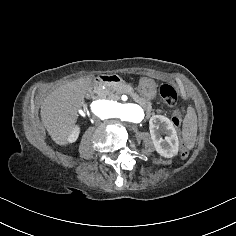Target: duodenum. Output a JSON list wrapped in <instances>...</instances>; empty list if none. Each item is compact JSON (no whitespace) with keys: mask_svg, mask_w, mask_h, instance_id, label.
<instances>
[{"mask_svg":"<svg viewBox=\"0 0 236 236\" xmlns=\"http://www.w3.org/2000/svg\"><path fill=\"white\" fill-rule=\"evenodd\" d=\"M122 79L115 74H101L97 76L91 83V87H95L102 84H115L120 83Z\"/></svg>","mask_w":236,"mask_h":236,"instance_id":"1","label":"duodenum"}]
</instances>
